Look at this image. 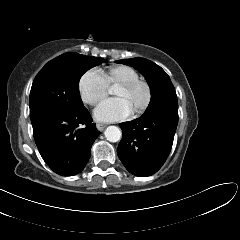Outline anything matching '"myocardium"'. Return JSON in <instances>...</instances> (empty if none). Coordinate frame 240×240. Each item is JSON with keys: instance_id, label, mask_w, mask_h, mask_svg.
Instances as JSON below:
<instances>
[{"instance_id": "1", "label": "myocardium", "mask_w": 240, "mask_h": 240, "mask_svg": "<svg viewBox=\"0 0 240 240\" xmlns=\"http://www.w3.org/2000/svg\"><path fill=\"white\" fill-rule=\"evenodd\" d=\"M139 86H141L145 89L146 99H145L144 103L138 109L134 110V114H136V115L145 113L147 111V109L150 107V104L152 102V96H153L150 83L148 81H146L145 79L138 78V79H135L132 81L121 83L118 86H116V87H122L127 90H132Z\"/></svg>"}]
</instances>
